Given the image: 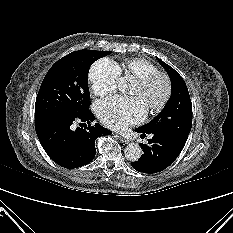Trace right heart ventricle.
I'll use <instances>...</instances> for the list:
<instances>
[{"label":"right heart ventricle","mask_w":233,"mask_h":233,"mask_svg":"<svg viewBox=\"0 0 233 233\" xmlns=\"http://www.w3.org/2000/svg\"><path fill=\"white\" fill-rule=\"evenodd\" d=\"M117 67L120 73L131 75L136 79L157 70V67L151 61L144 58H130Z\"/></svg>","instance_id":"right-heart-ventricle-1"}]
</instances>
